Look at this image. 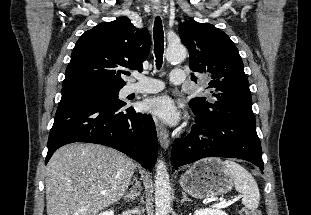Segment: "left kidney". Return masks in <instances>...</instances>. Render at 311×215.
<instances>
[{"label":"left kidney","mask_w":311,"mask_h":215,"mask_svg":"<svg viewBox=\"0 0 311 215\" xmlns=\"http://www.w3.org/2000/svg\"><path fill=\"white\" fill-rule=\"evenodd\" d=\"M194 215H228V214L219 209L205 208L201 210H196Z\"/></svg>","instance_id":"obj_1"}]
</instances>
